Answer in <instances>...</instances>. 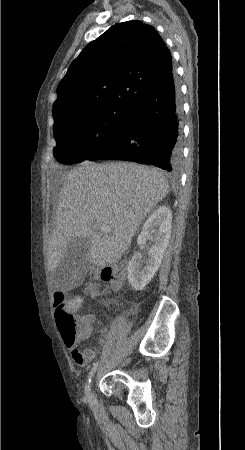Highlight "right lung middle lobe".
<instances>
[{
    "label": "right lung middle lobe",
    "mask_w": 245,
    "mask_h": 450,
    "mask_svg": "<svg viewBox=\"0 0 245 450\" xmlns=\"http://www.w3.org/2000/svg\"><path fill=\"white\" fill-rule=\"evenodd\" d=\"M130 109L131 106L106 105L53 114V132L57 141L53 154L57 161L75 164L106 149L122 134Z\"/></svg>",
    "instance_id": "dd1d6c3e"
}]
</instances>
